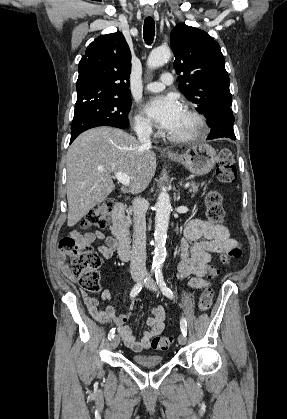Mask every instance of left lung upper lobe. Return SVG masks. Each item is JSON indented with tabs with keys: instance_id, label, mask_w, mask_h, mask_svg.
I'll list each match as a JSON object with an SVG mask.
<instances>
[{
	"instance_id": "5c2ea615",
	"label": "left lung upper lobe",
	"mask_w": 287,
	"mask_h": 419,
	"mask_svg": "<svg viewBox=\"0 0 287 419\" xmlns=\"http://www.w3.org/2000/svg\"><path fill=\"white\" fill-rule=\"evenodd\" d=\"M179 89L211 126L232 105L229 77L219 44L205 31L185 24L171 32Z\"/></svg>"
}]
</instances>
